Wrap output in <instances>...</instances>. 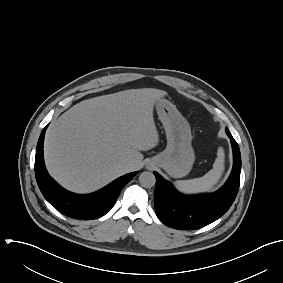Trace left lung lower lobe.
Listing matches in <instances>:
<instances>
[{"label": "left lung lower lobe", "instance_id": "0a47b994", "mask_svg": "<svg viewBox=\"0 0 283 283\" xmlns=\"http://www.w3.org/2000/svg\"><path fill=\"white\" fill-rule=\"evenodd\" d=\"M233 149V169L225 185L212 194L187 196L177 192L158 173L154 193L156 215L165 225L179 230L204 227L225 214L235 200L240 183L241 155L229 131Z\"/></svg>", "mask_w": 283, "mask_h": 283}]
</instances>
